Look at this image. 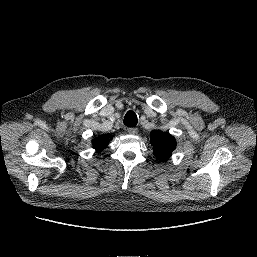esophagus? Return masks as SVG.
Wrapping results in <instances>:
<instances>
[{
    "instance_id": "esophagus-1",
    "label": "esophagus",
    "mask_w": 257,
    "mask_h": 257,
    "mask_svg": "<svg viewBox=\"0 0 257 257\" xmlns=\"http://www.w3.org/2000/svg\"><path fill=\"white\" fill-rule=\"evenodd\" d=\"M127 132H128L129 134L134 135V134L137 133V128H134V127L127 128Z\"/></svg>"
}]
</instances>
